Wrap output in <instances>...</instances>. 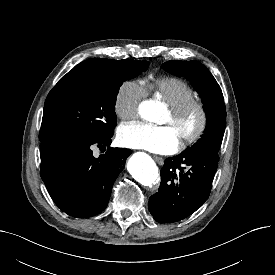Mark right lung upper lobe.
Wrapping results in <instances>:
<instances>
[{
	"label": "right lung upper lobe",
	"instance_id": "obj_1",
	"mask_svg": "<svg viewBox=\"0 0 275 275\" xmlns=\"http://www.w3.org/2000/svg\"><path fill=\"white\" fill-rule=\"evenodd\" d=\"M111 63H112V59L92 58L81 62L75 68H80L84 66L106 67V66H109Z\"/></svg>",
	"mask_w": 275,
	"mask_h": 275
}]
</instances>
